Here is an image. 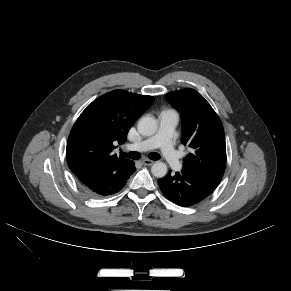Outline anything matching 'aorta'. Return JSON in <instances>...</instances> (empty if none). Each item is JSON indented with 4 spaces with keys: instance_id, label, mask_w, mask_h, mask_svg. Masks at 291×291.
I'll list each match as a JSON object with an SVG mask.
<instances>
[{
    "instance_id": "aorta-1",
    "label": "aorta",
    "mask_w": 291,
    "mask_h": 291,
    "mask_svg": "<svg viewBox=\"0 0 291 291\" xmlns=\"http://www.w3.org/2000/svg\"><path fill=\"white\" fill-rule=\"evenodd\" d=\"M158 124L153 116L142 117L137 125L138 132L143 136H152L156 133ZM152 174L163 178L167 174V165L162 161L155 162L151 167Z\"/></svg>"
}]
</instances>
